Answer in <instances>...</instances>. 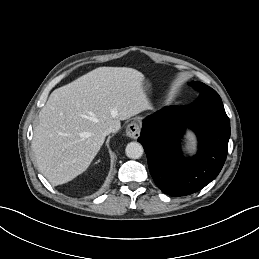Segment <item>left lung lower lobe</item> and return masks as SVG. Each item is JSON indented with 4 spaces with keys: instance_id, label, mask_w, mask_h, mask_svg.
<instances>
[{
    "instance_id": "obj_1",
    "label": "left lung lower lobe",
    "mask_w": 259,
    "mask_h": 259,
    "mask_svg": "<svg viewBox=\"0 0 259 259\" xmlns=\"http://www.w3.org/2000/svg\"><path fill=\"white\" fill-rule=\"evenodd\" d=\"M199 138L193 158L180 154V138L185 128ZM230 121L222 100L213 89L201 92L189 106H169L148 116L138 141L143 145L150 173L157 186L171 196L193 194L221 171L227 156Z\"/></svg>"
}]
</instances>
